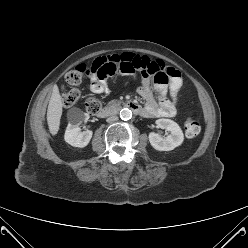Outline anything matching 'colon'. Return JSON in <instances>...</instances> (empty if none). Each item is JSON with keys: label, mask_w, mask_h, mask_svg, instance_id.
<instances>
[{"label": "colon", "mask_w": 248, "mask_h": 248, "mask_svg": "<svg viewBox=\"0 0 248 248\" xmlns=\"http://www.w3.org/2000/svg\"><path fill=\"white\" fill-rule=\"evenodd\" d=\"M115 70V62L109 57L99 58L91 65H80L77 68L69 71L65 75V80L70 85H78L86 76H97L100 79L112 74ZM144 74V73H143ZM145 75V74H144ZM163 76H159V80H162ZM81 97V93L78 89H71L63 94L62 100L66 108H70L75 105ZM86 110L90 114H95L101 109V102L99 99L90 97L85 102ZM201 127L199 122L193 118L188 117L185 120V132L189 137H195L200 133Z\"/></svg>", "instance_id": "1"}]
</instances>
